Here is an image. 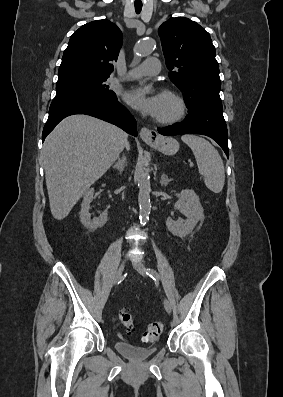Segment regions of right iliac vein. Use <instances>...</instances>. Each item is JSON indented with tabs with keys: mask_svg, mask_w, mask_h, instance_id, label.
I'll use <instances>...</instances> for the list:
<instances>
[{
	"mask_svg": "<svg viewBox=\"0 0 283 397\" xmlns=\"http://www.w3.org/2000/svg\"><path fill=\"white\" fill-rule=\"evenodd\" d=\"M125 263H126V260H123L121 262V264H120V266H119V268H118V270H117V272H116V274H115V276L113 278V284H116L121 279V277L123 275V272H124Z\"/></svg>",
	"mask_w": 283,
	"mask_h": 397,
	"instance_id": "obj_1",
	"label": "right iliac vein"
}]
</instances>
